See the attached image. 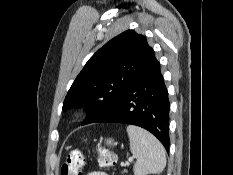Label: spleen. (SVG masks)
Wrapping results in <instances>:
<instances>
[{
    "label": "spleen",
    "instance_id": "obj_1",
    "mask_svg": "<svg viewBox=\"0 0 233 175\" xmlns=\"http://www.w3.org/2000/svg\"><path fill=\"white\" fill-rule=\"evenodd\" d=\"M131 153L136 158L134 175L159 174L166 166L162 144L148 131L134 125L127 127Z\"/></svg>",
    "mask_w": 233,
    "mask_h": 175
}]
</instances>
